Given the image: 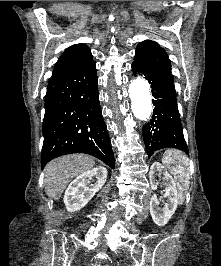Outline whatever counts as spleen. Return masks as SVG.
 <instances>
[{"mask_svg": "<svg viewBox=\"0 0 221 266\" xmlns=\"http://www.w3.org/2000/svg\"><path fill=\"white\" fill-rule=\"evenodd\" d=\"M162 163L174 176L182 199L190 185V167L189 159L181 151L168 149L165 151Z\"/></svg>", "mask_w": 221, "mask_h": 266, "instance_id": "1", "label": "spleen"}]
</instances>
